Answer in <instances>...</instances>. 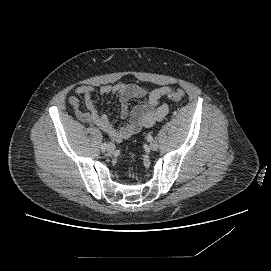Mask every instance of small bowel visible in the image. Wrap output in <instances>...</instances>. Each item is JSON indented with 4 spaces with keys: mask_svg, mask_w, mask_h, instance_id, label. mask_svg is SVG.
Returning a JSON list of instances; mask_svg holds the SVG:
<instances>
[{
    "mask_svg": "<svg viewBox=\"0 0 271 271\" xmlns=\"http://www.w3.org/2000/svg\"><path fill=\"white\" fill-rule=\"evenodd\" d=\"M169 86L149 89L137 84L118 83L104 85L100 88L101 95H117L120 103V117L126 123L115 127L105 114H100L93 100V87L88 85L79 86L77 95L83 98L86 111L80 107L77 96L68 98L69 104L74 108L77 118L87 124L97 126L115 141H122L138 133L144 127H151L162 121L169 112V103L160 100L171 92ZM133 99H144V102L129 110V102Z\"/></svg>",
    "mask_w": 271,
    "mask_h": 271,
    "instance_id": "small-bowel-1",
    "label": "small bowel"
}]
</instances>
